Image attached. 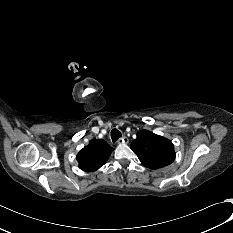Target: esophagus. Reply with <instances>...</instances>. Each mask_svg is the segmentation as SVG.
Returning a JSON list of instances; mask_svg holds the SVG:
<instances>
[{
	"label": "esophagus",
	"instance_id": "esophagus-1",
	"mask_svg": "<svg viewBox=\"0 0 233 233\" xmlns=\"http://www.w3.org/2000/svg\"><path fill=\"white\" fill-rule=\"evenodd\" d=\"M129 142V140H128V138L127 137H122V138H119L118 139V141H117V143L119 144V145H123V144H127Z\"/></svg>",
	"mask_w": 233,
	"mask_h": 233
}]
</instances>
